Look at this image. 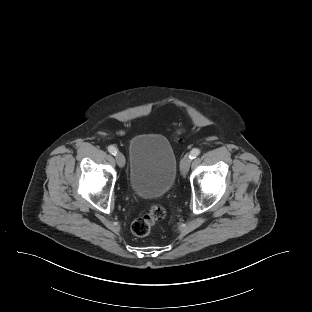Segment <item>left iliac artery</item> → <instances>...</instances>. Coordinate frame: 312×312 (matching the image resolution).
<instances>
[{
	"label": "left iliac artery",
	"instance_id": "44dca946",
	"mask_svg": "<svg viewBox=\"0 0 312 312\" xmlns=\"http://www.w3.org/2000/svg\"><path fill=\"white\" fill-rule=\"evenodd\" d=\"M199 154H200V149L195 148L190 152L189 158L191 160L195 159Z\"/></svg>",
	"mask_w": 312,
	"mask_h": 312
}]
</instances>
